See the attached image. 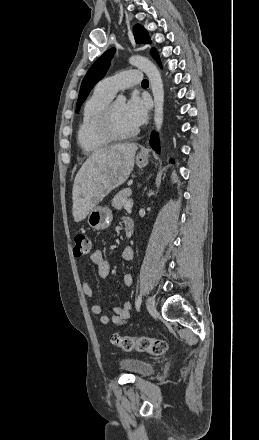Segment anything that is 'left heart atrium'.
I'll return each instance as SVG.
<instances>
[{"label": "left heart atrium", "instance_id": "39dd6f15", "mask_svg": "<svg viewBox=\"0 0 259 440\" xmlns=\"http://www.w3.org/2000/svg\"><path fill=\"white\" fill-rule=\"evenodd\" d=\"M148 111V102L136 94L132 95L125 104L126 116L131 124L136 128L146 122Z\"/></svg>", "mask_w": 259, "mask_h": 440}]
</instances>
